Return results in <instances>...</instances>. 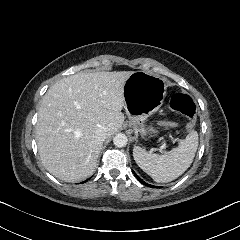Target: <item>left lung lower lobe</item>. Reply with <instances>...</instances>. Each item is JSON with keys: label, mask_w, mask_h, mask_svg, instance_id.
Segmentation results:
<instances>
[{"label": "left lung lower lobe", "mask_w": 240, "mask_h": 240, "mask_svg": "<svg viewBox=\"0 0 240 240\" xmlns=\"http://www.w3.org/2000/svg\"><path fill=\"white\" fill-rule=\"evenodd\" d=\"M134 175L136 176V178H137L141 183H143V184L146 185V186L152 187L151 185H149V184H147L146 182H144L136 173H134Z\"/></svg>", "instance_id": "left-lung-lower-lobe-1"}]
</instances>
